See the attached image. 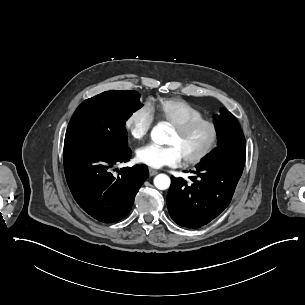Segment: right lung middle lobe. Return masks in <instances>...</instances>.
Masks as SVG:
<instances>
[{"instance_id":"dd1d6c3e","label":"right lung middle lobe","mask_w":305,"mask_h":305,"mask_svg":"<svg viewBox=\"0 0 305 305\" xmlns=\"http://www.w3.org/2000/svg\"><path fill=\"white\" fill-rule=\"evenodd\" d=\"M136 91H106L82 102L65 135L64 150L88 148L102 152L128 145L125 122L143 104Z\"/></svg>"}]
</instances>
